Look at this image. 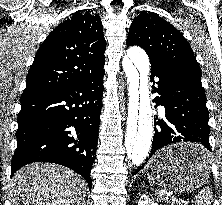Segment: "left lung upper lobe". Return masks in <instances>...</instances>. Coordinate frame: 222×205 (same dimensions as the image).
<instances>
[{"label":"left lung upper lobe","instance_id":"1","mask_svg":"<svg viewBox=\"0 0 222 205\" xmlns=\"http://www.w3.org/2000/svg\"><path fill=\"white\" fill-rule=\"evenodd\" d=\"M126 44L142 47L150 62L180 65L201 76L190 44L173 25L156 13L141 11L134 18Z\"/></svg>","mask_w":222,"mask_h":205}]
</instances>
